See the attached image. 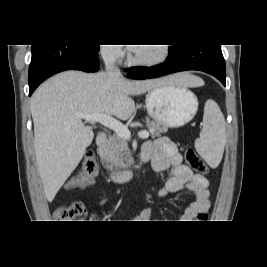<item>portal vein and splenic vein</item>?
<instances>
[{"mask_svg":"<svg viewBox=\"0 0 267 267\" xmlns=\"http://www.w3.org/2000/svg\"><path fill=\"white\" fill-rule=\"evenodd\" d=\"M79 117L84 119L85 121H91V122H99L105 127H108L116 132V134L124 139H130L131 133L129 129L122 124L120 121L117 119L103 114V113H94V114H79ZM138 136L142 139H146L149 137V132L148 131H141L138 133Z\"/></svg>","mask_w":267,"mask_h":267,"instance_id":"1","label":"portal vein and splenic vein"}]
</instances>
